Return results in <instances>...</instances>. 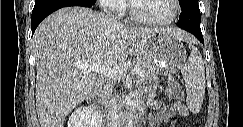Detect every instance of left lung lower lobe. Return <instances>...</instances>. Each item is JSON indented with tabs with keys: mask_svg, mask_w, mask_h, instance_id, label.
Wrapping results in <instances>:
<instances>
[{
	"mask_svg": "<svg viewBox=\"0 0 243 127\" xmlns=\"http://www.w3.org/2000/svg\"><path fill=\"white\" fill-rule=\"evenodd\" d=\"M200 9L198 3L187 4L182 7L177 26L193 34L202 44L203 36L200 28Z\"/></svg>",
	"mask_w": 243,
	"mask_h": 127,
	"instance_id": "1",
	"label": "left lung lower lobe"
}]
</instances>
